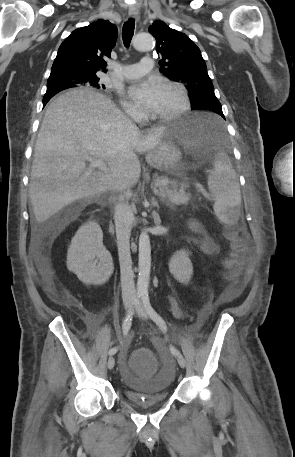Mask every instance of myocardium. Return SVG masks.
<instances>
[{
    "instance_id": "obj_1",
    "label": "myocardium",
    "mask_w": 295,
    "mask_h": 457,
    "mask_svg": "<svg viewBox=\"0 0 295 457\" xmlns=\"http://www.w3.org/2000/svg\"><path fill=\"white\" fill-rule=\"evenodd\" d=\"M161 85L164 87L172 88L177 92V94L179 96V100H180L179 106L172 112H169L166 114H160V115H156V114L152 113V114H149V117L152 120H156V121H170V120L180 117L190 107V99H189L186 88L182 84L173 82V81H162Z\"/></svg>"
}]
</instances>
